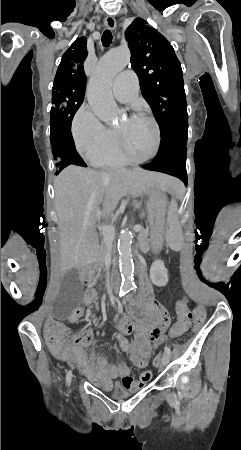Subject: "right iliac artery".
Here are the masks:
<instances>
[{
	"label": "right iliac artery",
	"instance_id": "82829eb1",
	"mask_svg": "<svg viewBox=\"0 0 241 450\" xmlns=\"http://www.w3.org/2000/svg\"><path fill=\"white\" fill-rule=\"evenodd\" d=\"M130 288H125L123 291L120 292L119 296H124L127 292H129Z\"/></svg>",
	"mask_w": 241,
	"mask_h": 450
}]
</instances>
